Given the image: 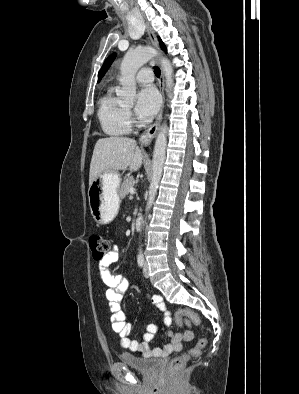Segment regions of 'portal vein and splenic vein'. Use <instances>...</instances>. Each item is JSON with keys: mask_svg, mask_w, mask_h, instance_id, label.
<instances>
[{"mask_svg": "<svg viewBox=\"0 0 299 394\" xmlns=\"http://www.w3.org/2000/svg\"><path fill=\"white\" fill-rule=\"evenodd\" d=\"M130 193H131V194H135V193H136V189L132 187V188L130 189Z\"/></svg>", "mask_w": 299, "mask_h": 394, "instance_id": "obj_1", "label": "portal vein and splenic vein"}]
</instances>
